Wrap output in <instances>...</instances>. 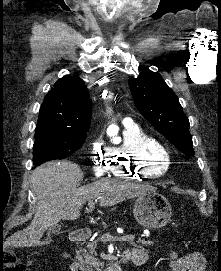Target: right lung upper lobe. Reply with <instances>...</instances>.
I'll return each mask as SVG.
<instances>
[{"label":"right lung upper lobe","instance_id":"cb5924a9","mask_svg":"<svg viewBox=\"0 0 221 271\" xmlns=\"http://www.w3.org/2000/svg\"><path fill=\"white\" fill-rule=\"evenodd\" d=\"M92 104L85 83L66 75L48 92L39 111L36 133L87 134Z\"/></svg>","mask_w":221,"mask_h":271}]
</instances>
